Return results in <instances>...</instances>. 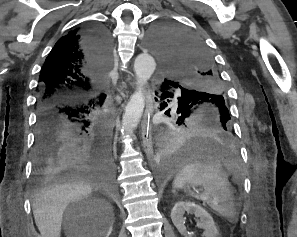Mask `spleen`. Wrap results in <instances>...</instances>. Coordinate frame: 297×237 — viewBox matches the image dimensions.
<instances>
[{"label": "spleen", "mask_w": 297, "mask_h": 237, "mask_svg": "<svg viewBox=\"0 0 297 237\" xmlns=\"http://www.w3.org/2000/svg\"><path fill=\"white\" fill-rule=\"evenodd\" d=\"M203 186L204 192L197 196L189 190L192 197L205 202L220 216L233 222L236 217L230 186L218 161L193 160L185 165L174 179L175 188Z\"/></svg>", "instance_id": "spleen-1"}]
</instances>
